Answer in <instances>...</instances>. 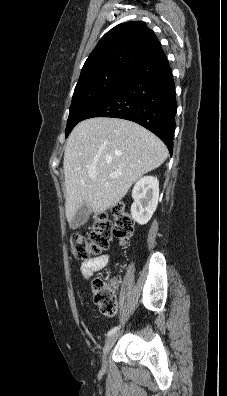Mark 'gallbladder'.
<instances>
[{
	"label": "gallbladder",
	"mask_w": 227,
	"mask_h": 396,
	"mask_svg": "<svg viewBox=\"0 0 227 396\" xmlns=\"http://www.w3.org/2000/svg\"><path fill=\"white\" fill-rule=\"evenodd\" d=\"M90 212V208L83 203L80 208L77 210L72 220L69 223L71 229L79 228L86 221L88 214Z\"/></svg>",
	"instance_id": "bac80fb5"
}]
</instances>
